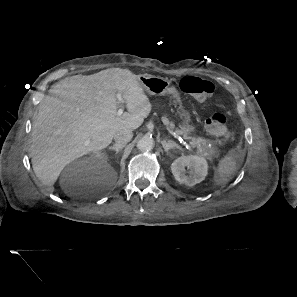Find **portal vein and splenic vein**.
Returning a JSON list of instances; mask_svg holds the SVG:
<instances>
[{
  "mask_svg": "<svg viewBox=\"0 0 297 297\" xmlns=\"http://www.w3.org/2000/svg\"><path fill=\"white\" fill-rule=\"evenodd\" d=\"M116 97H117V99H118V101H119L120 103H123V98H122V95H121L120 93H117ZM122 114H123V108L121 107V108L118 109V111H117V115L120 116V115H122ZM190 145H191L192 147H195L194 144L191 143V142H190Z\"/></svg>",
  "mask_w": 297,
  "mask_h": 297,
  "instance_id": "obj_1",
  "label": "portal vein and splenic vein"
}]
</instances>
